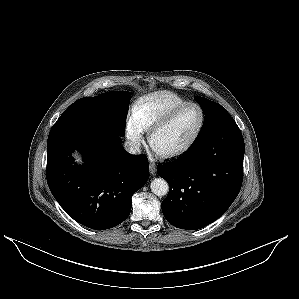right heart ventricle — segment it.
Masks as SVG:
<instances>
[{
    "mask_svg": "<svg viewBox=\"0 0 299 299\" xmlns=\"http://www.w3.org/2000/svg\"><path fill=\"white\" fill-rule=\"evenodd\" d=\"M188 102L173 92H156L140 98L135 104L133 114L145 130H149L173 110Z\"/></svg>",
    "mask_w": 299,
    "mask_h": 299,
    "instance_id": "right-heart-ventricle-1",
    "label": "right heart ventricle"
}]
</instances>
